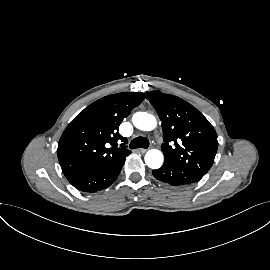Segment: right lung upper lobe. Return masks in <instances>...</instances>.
<instances>
[{"label": "right lung upper lobe", "instance_id": "1", "mask_svg": "<svg viewBox=\"0 0 270 270\" xmlns=\"http://www.w3.org/2000/svg\"><path fill=\"white\" fill-rule=\"evenodd\" d=\"M144 98V93L137 92L108 95L77 115L58 143L57 156L66 178L109 166L131 153L118 128ZM117 141L124 143L117 147Z\"/></svg>", "mask_w": 270, "mask_h": 270}]
</instances>
